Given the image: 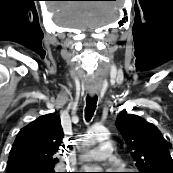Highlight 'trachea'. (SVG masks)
Here are the masks:
<instances>
[{
	"instance_id": "1",
	"label": "trachea",
	"mask_w": 173,
	"mask_h": 173,
	"mask_svg": "<svg viewBox=\"0 0 173 173\" xmlns=\"http://www.w3.org/2000/svg\"><path fill=\"white\" fill-rule=\"evenodd\" d=\"M96 104H97V96L94 97H86V107H85V119L86 121H90L95 109H96Z\"/></svg>"
}]
</instances>
